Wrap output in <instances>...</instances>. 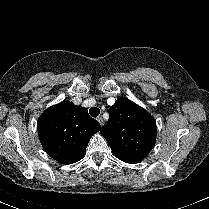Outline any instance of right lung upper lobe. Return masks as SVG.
<instances>
[{
	"mask_svg": "<svg viewBox=\"0 0 209 209\" xmlns=\"http://www.w3.org/2000/svg\"><path fill=\"white\" fill-rule=\"evenodd\" d=\"M38 135L46 153L68 165L81 160L100 124L85 108L63 101L49 107L38 120Z\"/></svg>",
	"mask_w": 209,
	"mask_h": 209,
	"instance_id": "right-lung-upper-lobe-1",
	"label": "right lung upper lobe"
}]
</instances>
